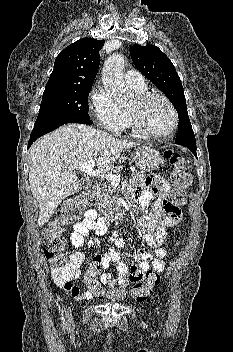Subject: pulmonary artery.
<instances>
[{
	"instance_id": "pulmonary-artery-1",
	"label": "pulmonary artery",
	"mask_w": 233,
	"mask_h": 352,
	"mask_svg": "<svg viewBox=\"0 0 233 352\" xmlns=\"http://www.w3.org/2000/svg\"><path fill=\"white\" fill-rule=\"evenodd\" d=\"M125 82L130 88L135 90L146 88L144 77L136 70H128L125 73Z\"/></svg>"
}]
</instances>
